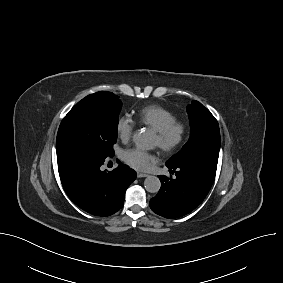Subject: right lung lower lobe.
Instances as JSON below:
<instances>
[{"instance_id": "obj_1", "label": "right lung lower lobe", "mask_w": 283, "mask_h": 283, "mask_svg": "<svg viewBox=\"0 0 283 283\" xmlns=\"http://www.w3.org/2000/svg\"><path fill=\"white\" fill-rule=\"evenodd\" d=\"M107 157L71 153L58 161L59 176L69 198L95 216H110L124 205L125 191L136 172L119 162L113 171H102Z\"/></svg>"}]
</instances>
